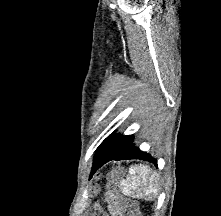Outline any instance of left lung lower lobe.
Instances as JSON below:
<instances>
[{
  "instance_id": "obj_1",
  "label": "left lung lower lobe",
  "mask_w": 221,
  "mask_h": 216,
  "mask_svg": "<svg viewBox=\"0 0 221 216\" xmlns=\"http://www.w3.org/2000/svg\"><path fill=\"white\" fill-rule=\"evenodd\" d=\"M130 159H140V160L150 161L157 165V161L154 158H152L149 154L141 151L138 147H136L132 139L131 142L122 151L116 154L106 150H97L90 177L102 165H104L105 163L111 160H130Z\"/></svg>"
}]
</instances>
